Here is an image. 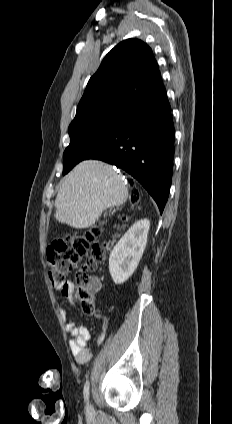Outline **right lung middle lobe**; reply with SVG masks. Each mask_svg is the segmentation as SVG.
<instances>
[{
	"mask_svg": "<svg viewBox=\"0 0 232 424\" xmlns=\"http://www.w3.org/2000/svg\"><path fill=\"white\" fill-rule=\"evenodd\" d=\"M131 107L128 104L110 103L76 113L68 128L71 142L63 154V174H67L104 139L126 123Z\"/></svg>",
	"mask_w": 232,
	"mask_h": 424,
	"instance_id": "right-lung-middle-lobe-1",
	"label": "right lung middle lobe"
}]
</instances>
